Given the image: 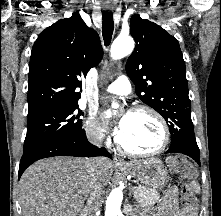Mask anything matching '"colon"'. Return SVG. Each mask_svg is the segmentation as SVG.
<instances>
[{"label": "colon", "mask_w": 221, "mask_h": 216, "mask_svg": "<svg viewBox=\"0 0 221 216\" xmlns=\"http://www.w3.org/2000/svg\"><path fill=\"white\" fill-rule=\"evenodd\" d=\"M169 166L173 172H182L184 174L190 173L191 169L188 167L184 158L174 157L169 160ZM182 205L183 210L189 213L195 212L196 201L189 186L182 187Z\"/></svg>", "instance_id": "colon-1"}]
</instances>
